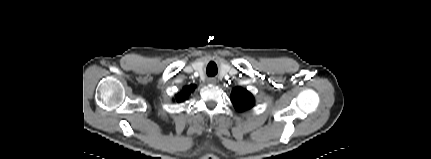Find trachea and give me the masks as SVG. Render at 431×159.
I'll return each instance as SVG.
<instances>
[{
	"label": "trachea",
	"mask_w": 431,
	"mask_h": 159,
	"mask_svg": "<svg viewBox=\"0 0 431 159\" xmlns=\"http://www.w3.org/2000/svg\"><path fill=\"white\" fill-rule=\"evenodd\" d=\"M216 73H217V67H216V65L214 63H210L207 66V74L209 76H214Z\"/></svg>",
	"instance_id": "obj_1"
}]
</instances>
